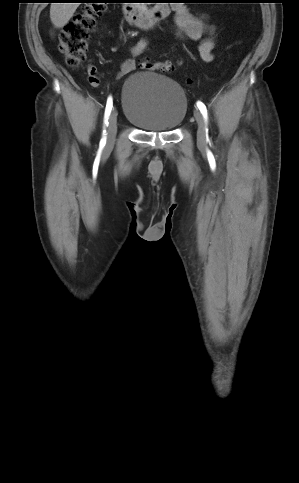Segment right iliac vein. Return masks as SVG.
<instances>
[{"label": "right iliac vein", "instance_id": "63e3f726", "mask_svg": "<svg viewBox=\"0 0 299 483\" xmlns=\"http://www.w3.org/2000/svg\"><path fill=\"white\" fill-rule=\"evenodd\" d=\"M117 133V111L113 109L109 118L108 126V144H112Z\"/></svg>", "mask_w": 299, "mask_h": 483}]
</instances>
